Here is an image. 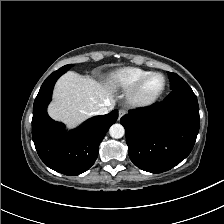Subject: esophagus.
I'll list each match as a JSON object with an SVG mask.
<instances>
[{"label":"esophagus","instance_id":"esophagus-1","mask_svg":"<svg viewBox=\"0 0 224 224\" xmlns=\"http://www.w3.org/2000/svg\"><path fill=\"white\" fill-rule=\"evenodd\" d=\"M125 114H126V111L124 109H120L118 120H120Z\"/></svg>","mask_w":224,"mask_h":224}]
</instances>
